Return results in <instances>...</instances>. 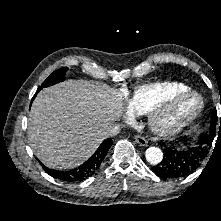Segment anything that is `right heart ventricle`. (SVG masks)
<instances>
[{"label":"right heart ventricle","instance_id":"right-heart-ventricle-1","mask_svg":"<svg viewBox=\"0 0 221 221\" xmlns=\"http://www.w3.org/2000/svg\"><path fill=\"white\" fill-rule=\"evenodd\" d=\"M189 86L173 81L144 84L136 87L127 99L128 111L133 115H143L162 99L189 92Z\"/></svg>","mask_w":221,"mask_h":221}]
</instances>
